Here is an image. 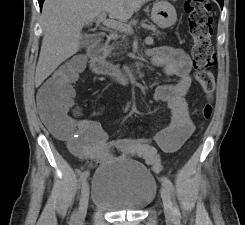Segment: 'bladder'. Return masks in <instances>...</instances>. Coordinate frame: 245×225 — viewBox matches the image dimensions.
Listing matches in <instances>:
<instances>
[{
	"mask_svg": "<svg viewBox=\"0 0 245 225\" xmlns=\"http://www.w3.org/2000/svg\"><path fill=\"white\" fill-rule=\"evenodd\" d=\"M93 205L114 212H137L150 205L157 181L148 168L135 160H120L98 169L91 178Z\"/></svg>",
	"mask_w": 245,
	"mask_h": 225,
	"instance_id": "bladder-1",
	"label": "bladder"
}]
</instances>
